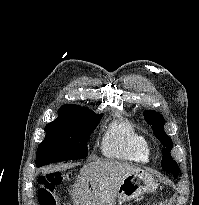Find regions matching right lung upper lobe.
I'll use <instances>...</instances> for the list:
<instances>
[{
    "instance_id": "obj_1",
    "label": "right lung upper lobe",
    "mask_w": 199,
    "mask_h": 205,
    "mask_svg": "<svg viewBox=\"0 0 199 205\" xmlns=\"http://www.w3.org/2000/svg\"><path fill=\"white\" fill-rule=\"evenodd\" d=\"M73 104H67V105H63L62 107H66V106H72ZM60 107V108H62Z\"/></svg>"
}]
</instances>
